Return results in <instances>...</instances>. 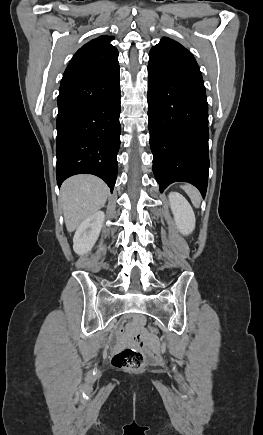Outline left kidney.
<instances>
[{"instance_id": "obj_1", "label": "left kidney", "mask_w": 263, "mask_h": 435, "mask_svg": "<svg viewBox=\"0 0 263 435\" xmlns=\"http://www.w3.org/2000/svg\"><path fill=\"white\" fill-rule=\"evenodd\" d=\"M168 197L177 228L183 235H189L196 222L192 207L178 192H170Z\"/></svg>"}]
</instances>
